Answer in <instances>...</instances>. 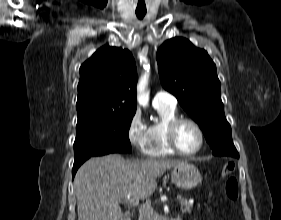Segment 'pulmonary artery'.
Here are the masks:
<instances>
[{
	"instance_id": "obj_1",
	"label": "pulmonary artery",
	"mask_w": 281,
	"mask_h": 220,
	"mask_svg": "<svg viewBox=\"0 0 281 220\" xmlns=\"http://www.w3.org/2000/svg\"><path fill=\"white\" fill-rule=\"evenodd\" d=\"M152 103L154 107L165 106L170 108H175L177 100L175 96L166 91H157L153 97Z\"/></svg>"
}]
</instances>
